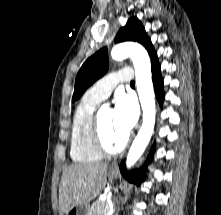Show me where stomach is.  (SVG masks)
<instances>
[{
	"label": "stomach",
	"mask_w": 221,
	"mask_h": 215,
	"mask_svg": "<svg viewBox=\"0 0 221 215\" xmlns=\"http://www.w3.org/2000/svg\"><path fill=\"white\" fill-rule=\"evenodd\" d=\"M109 177L111 179L116 178L118 176V172L114 170H110L108 173ZM89 210V205L88 204H80L72 209H70L66 215H87Z\"/></svg>",
	"instance_id": "1"
}]
</instances>
